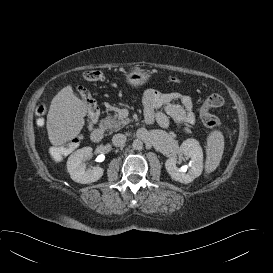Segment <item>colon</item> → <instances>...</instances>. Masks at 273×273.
I'll return each instance as SVG.
<instances>
[{"mask_svg":"<svg viewBox=\"0 0 273 273\" xmlns=\"http://www.w3.org/2000/svg\"><path fill=\"white\" fill-rule=\"evenodd\" d=\"M83 76L86 80L92 81V82H98L104 78L103 72L99 69H88L84 72ZM171 81L178 82V79L171 78ZM77 93L84 100L86 104L88 123L90 125L95 124L99 116V108L95 99L93 98L90 91L83 86H79L77 88ZM223 104H224V99L222 96L218 94H212L204 100V102L202 103L199 109V115H200V119L202 123L205 126L210 128L219 127V128L226 129L223 123L215 115L209 112L211 108L221 107ZM43 113H44V107L40 105L37 108V114L38 116H42ZM227 133L230 135L229 130H227Z\"/></svg>","mask_w":273,"mask_h":273,"instance_id":"obj_1","label":"colon"}]
</instances>
